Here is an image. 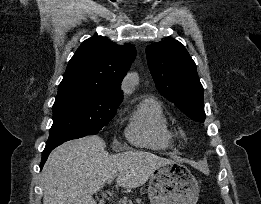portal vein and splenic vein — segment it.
Masks as SVG:
<instances>
[{"mask_svg": "<svg viewBox=\"0 0 261 204\" xmlns=\"http://www.w3.org/2000/svg\"><path fill=\"white\" fill-rule=\"evenodd\" d=\"M115 179V176H111L108 178L107 183L111 184V182Z\"/></svg>", "mask_w": 261, "mask_h": 204, "instance_id": "18ae733b", "label": "portal vein and splenic vein"}]
</instances>
